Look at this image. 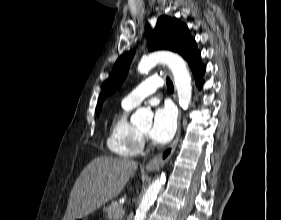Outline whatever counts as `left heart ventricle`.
<instances>
[{"mask_svg": "<svg viewBox=\"0 0 281 220\" xmlns=\"http://www.w3.org/2000/svg\"><path fill=\"white\" fill-rule=\"evenodd\" d=\"M148 130H149V128H148V127L141 129V131H142L143 133H147V132H148Z\"/></svg>", "mask_w": 281, "mask_h": 220, "instance_id": "left-heart-ventricle-1", "label": "left heart ventricle"}]
</instances>
